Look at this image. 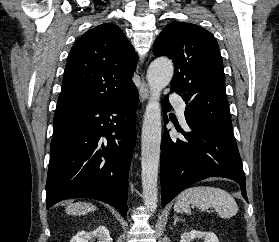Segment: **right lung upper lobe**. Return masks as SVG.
Segmentation results:
<instances>
[{
	"mask_svg": "<svg viewBox=\"0 0 279 242\" xmlns=\"http://www.w3.org/2000/svg\"><path fill=\"white\" fill-rule=\"evenodd\" d=\"M137 55L122 30L104 23L73 45L55 115L118 102L137 90L132 82Z\"/></svg>",
	"mask_w": 279,
	"mask_h": 242,
	"instance_id": "1",
	"label": "right lung upper lobe"
}]
</instances>
